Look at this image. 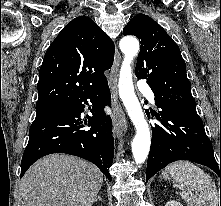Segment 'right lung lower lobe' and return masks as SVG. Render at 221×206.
Here are the masks:
<instances>
[{
	"mask_svg": "<svg viewBox=\"0 0 221 206\" xmlns=\"http://www.w3.org/2000/svg\"><path fill=\"white\" fill-rule=\"evenodd\" d=\"M87 100L93 104V116L82 121L80 115ZM106 104L111 105L107 80L74 102L36 114L22 157L20 177L39 158L61 152L94 163L111 180L108 169L113 162L114 140L111 118L103 110ZM86 126L91 128L85 129Z\"/></svg>",
	"mask_w": 221,
	"mask_h": 206,
	"instance_id": "right-lung-lower-lobe-1",
	"label": "right lung lower lobe"
}]
</instances>
